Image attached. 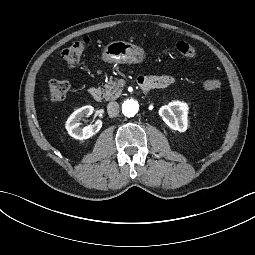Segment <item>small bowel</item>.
Returning a JSON list of instances; mask_svg holds the SVG:
<instances>
[{"label":"small bowel","instance_id":"obj_1","mask_svg":"<svg viewBox=\"0 0 255 255\" xmlns=\"http://www.w3.org/2000/svg\"><path fill=\"white\" fill-rule=\"evenodd\" d=\"M148 80L151 81L155 87L164 88L174 82V77L172 75H164L160 77H152Z\"/></svg>","mask_w":255,"mask_h":255}]
</instances>
